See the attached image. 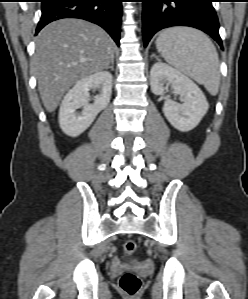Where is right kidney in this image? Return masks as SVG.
<instances>
[{
	"label": "right kidney",
	"mask_w": 248,
	"mask_h": 299,
	"mask_svg": "<svg viewBox=\"0 0 248 299\" xmlns=\"http://www.w3.org/2000/svg\"><path fill=\"white\" fill-rule=\"evenodd\" d=\"M99 89L93 104H88L89 91ZM112 75L107 71H99L79 80L65 95L59 110V124L62 131L77 137L94 121L100 111L105 109L111 98ZM83 108L81 115L76 110Z\"/></svg>",
	"instance_id": "obj_1"
}]
</instances>
